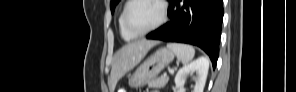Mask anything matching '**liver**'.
Wrapping results in <instances>:
<instances>
[{
	"label": "liver",
	"mask_w": 296,
	"mask_h": 92,
	"mask_svg": "<svg viewBox=\"0 0 296 92\" xmlns=\"http://www.w3.org/2000/svg\"><path fill=\"white\" fill-rule=\"evenodd\" d=\"M157 44V41L140 40L125 45L116 53L110 75V92H114L119 79L140 63L147 52Z\"/></svg>",
	"instance_id": "liver-1"
}]
</instances>
